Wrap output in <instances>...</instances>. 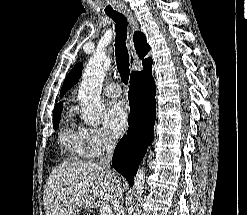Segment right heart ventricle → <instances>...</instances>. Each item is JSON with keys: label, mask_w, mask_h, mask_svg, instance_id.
<instances>
[{"label": "right heart ventricle", "mask_w": 247, "mask_h": 215, "mask_svg": "<svg viewBox=\"0 0 247 215\" xmlns=\"http://www.w3.org/2000/svg\"><path fill=\"white\" fill-rule=\"evenodd\" d=\"M60 142L73 159H85L89 152L85 146L82 131L73 123H67L60 131Z\"/></svg>", "instance_id": "obj_1"}]
</instances>
